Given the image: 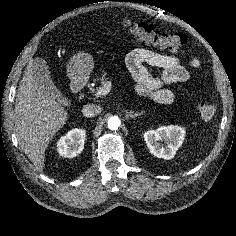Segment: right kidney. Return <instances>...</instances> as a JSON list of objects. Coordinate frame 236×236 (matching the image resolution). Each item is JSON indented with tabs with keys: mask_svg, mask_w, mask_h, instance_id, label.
Listing matches in <instances>:
<instances>
[{
	"mask_svg": "<svg viewBox=\"0 0 236 236\" xmlns=\"http://www.w3.org/2000/svg\"><path fill=\"white\" fill-rule=\"evenodd\" d=\"M86 132L84 129H72L62 136L57 143V151L60 156L73 158L84 149Z\"/></svg>",
	"mask_w": 236,
	"mask_h": 236,
	"instance_id": "ca27d5eb",
	"label": "right kidney"
}]
</instances>
